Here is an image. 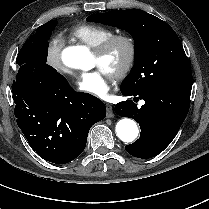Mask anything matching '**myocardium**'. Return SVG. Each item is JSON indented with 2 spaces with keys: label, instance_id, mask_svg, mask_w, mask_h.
<instances>
[{
  "label": "myocardium",
  "instance_id": "f54148a6",
  "mask_svg": "<svg viewBox=\"0 0 209 209\" xmlns=\"http://www.w3.org/2000/svg\"><path fill=\"white\" fill-rule=\"evenodd\" d=\"M118 44H123L126 47L127 55L120 67L111 75L115 80L125 78L135 63L137 56L135 39L127 34H114L94 49L97 58L105 60Z\"/></svg>",
  "mask_w": 209,
  "mask_h": 209
}]
</instances>
